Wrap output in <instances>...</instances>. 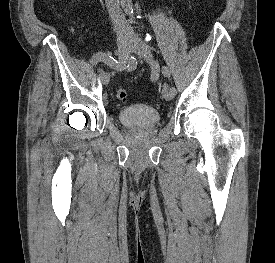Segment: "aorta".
Here are the masks:
<instances>
[{
  "instance_id": "aorta-1",
  "label": "aorta",
  "mask_w": 275,
  "mask_h": 263,
  "mask_svg": "<svg viewBox=\"0 0 275 263\" xmlns=\"http://www.w3.org/2000/svg\"><path fill=\"white\" fill-rule=\"evenodd\" d=\"M120 4L125 13L131 15L133 13L132 0H120Z\"/></svg>"
}]
</instances>
